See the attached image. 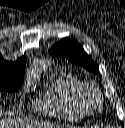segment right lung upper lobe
I'll use <instances>...</instances> for the list:
<instances>
[{
	"label": "right lung upper lobe",
	"instance_id": "1",
	"mask_svg": "<svg viewBox=\"0 0 125 128\" xmlns=\"http://www.w3.org/2000/svg\"><path fill=\"white\" fill-rule=\"evenodd\" d=\"M25 67V57L18 58L16 62H8L5 61L0 54V70H10L24 73Z\"/></svg>",
	"mask_w": 125,
	"mask_h": 128
}]
</instances>
